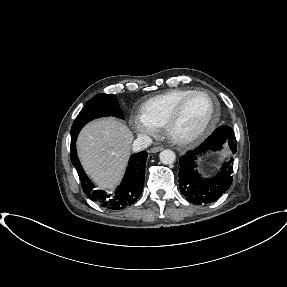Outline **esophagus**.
<instances>
[{"label": "esophagus", "mask_w": 287, "mask_h": 287, "mask_svg": "<svg viewBox=\"0 0 287 287\" xmlns=\"http://www.w3.org/2000/svg\"><path fill=\"white\" fill-rule=\"evenodd\" d=\"M162 149H163L162 146H154V147H152V148L150 149V152H151V153H156V152L161 151Z\"/></svg>", "instance_id": "1"}]
</instances>
